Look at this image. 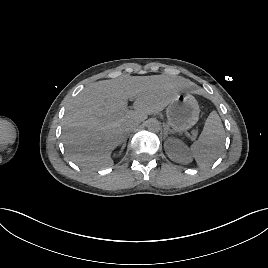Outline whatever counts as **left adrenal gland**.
I'll list each match as a JSON object with an SVG mask.
<instances>
[{
  "mask_svg": "<svg viewBox=\"0 0 268 268\" xmlns=\"http://www.w3.org/2000/svg\"><path fill=\"white\" fill-rule=\"evenodd\" d=\"M167 134H168V129L165 127V128H164V139H166Z\"/></svg>",
  "mask_w": 268,
  "mask_h": 268,
  "instance_id": "1",
  "label": "left adrenal gland"
}]
</instances>
